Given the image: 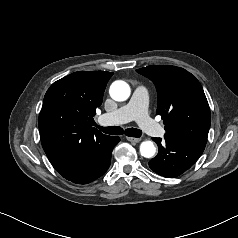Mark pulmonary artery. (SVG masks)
Wrapping results in <instances>:
<instances>
[{"mask_svg": "<svg viewBox=\"0 0 238 238\" xmlns=\"http://www.w3.org/2000/svg\"><path fill=\"white\" fill-rule=\"evenodd\" d=\"M148 90L142 85L134 88L130 100L113 112L99 117L101 125H112L135 120L149 135L159 137L163 135V128L153 121L147 110Z\"/></svg>", "mask_w": 238, "mask_h": 238, "instance_id": "obj_1", "label": "pulmonary artery"}]
</instances>
